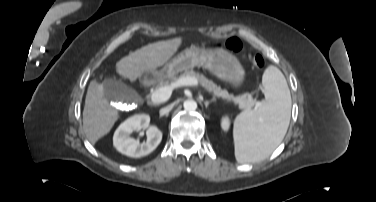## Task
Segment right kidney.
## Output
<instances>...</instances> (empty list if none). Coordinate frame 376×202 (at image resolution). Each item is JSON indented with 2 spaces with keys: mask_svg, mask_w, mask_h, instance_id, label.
Returning <instances> with one entry per match:
<instances>
[{
  "mask_svg": "<svg viewBox=\"0 0 376 202\" xmlns=\"http://www.w3.org/2000/svg\"><path fill=\"white\" fill-rule=\"evenodd\" d=\"M146 129L147 141L139 144L130 137L133 131ZM162 132L154 125H150V117L146 114L134 115L125 120L115 131L114 147L129 157L139 158L148 155L160 144Z\"/></svg>",
  "mask_w": 376,
  "mask_h": 202,
  "instance_id": "obj_1",
  "label": "right kidney"
}]
</instances>
